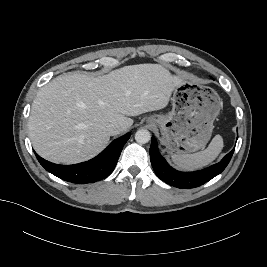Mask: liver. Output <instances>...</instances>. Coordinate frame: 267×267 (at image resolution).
<instances>
[{
    "instance_id": "liver-1",
    "label": "liver",
    "mask_w": 267,
    "mask_h": 267,
    "mask_svg": "<svg viewBox=\"0 0 267 267\" xmlns=\"http://www.w3.org/2000/svg\"><path fill=\"white\" fill-rule=\"evenodd\" d=\"M180 81L159 64L124 66L100 77L60 75L33 100L28 122L33 148L54 163L86 161L107 145L108 124L119 123L125 131L133 124L128 116L165 108Z\"/></svg>"
}]
</instances>
